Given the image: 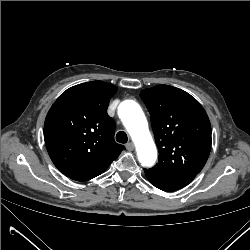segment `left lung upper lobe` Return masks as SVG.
<instances>
[{"label": "left lung upper lobe", "mask_w": 250, "mask_h": 250, "mask_svg": "<svg viewBox=\"0 0 250 250\" xmlns=\"http://www.w3.org/2000/svg\"><path fill=\"white\" fill-rule=\"evenodd\" d=\"M158 163L150 169L164 175H197L211 150V125L201 104L187 92L168 85L144 89Z\"/></svg>", "instance_id": "left-lung-upper-lobe-1"}]
</instances>
